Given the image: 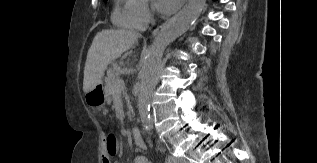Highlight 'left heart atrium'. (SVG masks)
Masks as SVG:
<instances>
[{"instance_id": "obj_1", "label": "left heart atrium", "mask_w": 317, "mask_h": 163, "mask_svg": "<svg viewBox=\"0 0 317 163\" xmlns=\"http://www.w3.org/2000/svg\"><path fill=\"white\" fill-rule=\"evenodd\" d=\"M155 8L161 14H170L181 4L182 0H155Z\"/></svg>"}]
</instances>
